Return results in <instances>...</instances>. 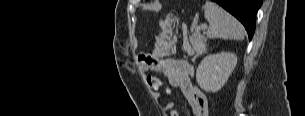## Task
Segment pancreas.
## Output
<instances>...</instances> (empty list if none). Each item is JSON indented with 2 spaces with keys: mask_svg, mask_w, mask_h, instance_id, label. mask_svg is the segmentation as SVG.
<instances>
[{
  "mask_svg": "<svg viewBox=\"0 0 305 116\" xmlns=\"http://www.w3.org/2000/svg\"><path fill=\"white\" fill-rule=\"evenodd\" d=\"M206 42L207 39L199 34V33H193V35L190 37V43L192 45V48L188 46H184V51L192 56L196 53V55H201L206 51Z\"/></svg>",
  "mask_w": 305,
  "mask_h": 116,
  "instance_id": "pancreas-1",
  "label": "pancreas"
}]
</instances>
